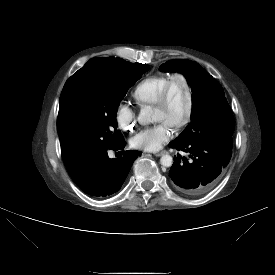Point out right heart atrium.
Instances as JSON below:
<instances>
[{
  "label": "right heart atrium",
  "mask_w": 275,
  "mask_h": 275,
  "mask_svg": "<svg viewBox=\"0 0 275 275\" xmlns=\"http://www.w3.org/2000/svg\"><path fill=\"white\" fill-rule=\"evenodd\" d=\"M115 120L122 130H131L135 124L136 112L126 102H120L115 109Z\"/></svg>",
  "instance_id": "obj_1"
}]
</instances>
